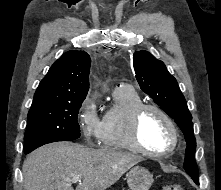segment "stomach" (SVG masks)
<instances>
[{
	"instance_id": "1",
	"label": "stomach",
	"mask_w": 221,
	"mask_h": 190,
	"mask_svg": "<svg viewBox=\"0 0 221 190\" xmlns=\"http://www.w3.org/2000/svg\"><path fill=\"white\" fill-rule=\"evenodd\" d=\"M130 190H149L153 183V175L144 167L136 166L127 173Z\"/></svg>"
}]
</instances>
